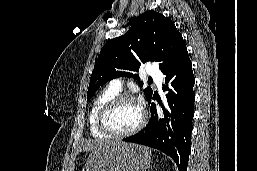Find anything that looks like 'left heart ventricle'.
Segmentation results:
<instances>
[{
    "label": "left heart ventricle",
    "mask_w": 257,
    "mask_h": 171,
    "mask_svg": "<svg viewBox=\"0 0 257 171\" xmlns=\"http://www.w3.org/2000/svg\"><path fill=\"white\" fill-rule=\"evenodd\" d=\"M141 119V110L135 103H122L109 114L108 126L114 132H126L133 129Z\"/></svg>",
    "instance_id": "left-heart-ventricle-1"
}]
</instances>
